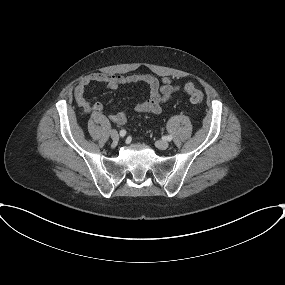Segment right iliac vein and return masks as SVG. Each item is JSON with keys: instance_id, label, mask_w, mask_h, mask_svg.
<instances>
[{"instance_id": "1", "label": "right iliac vein", "mask_w": 285, "mask_h": 285, "mask_svg": "<svg viewBox=\"0 0 285 285\" xmlns=\"http://www.w3.org/2000/svg\"><path fill=\"white\" fill-rule=\"evenodd\" d=\"M110 136H111L112 140L115 142H117L119 140V134L114 129L110 131Z\"/></svg>"}]
</instances>
